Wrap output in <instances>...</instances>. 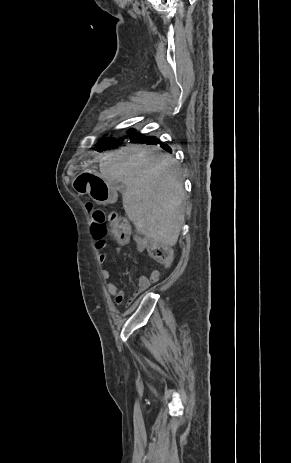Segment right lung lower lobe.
Masks as SVG:
<instances>
[{
    "instance_id": "98d812e1",
    "label": "right lung lower lobe",
    "mask_w": 291,
    "mask_h": 463,
    "mask_svg": "<svg viewBox=\"0 0 291 463\" xmlns=\"http://www.w3.org/2000/svg\"><path fill=\"white\" fill-rule=\"evenodd\" d=\"M142 143H147V144H157V143H161L159 142L156 138H151V139H147L145 141H143ZM162 148H164L165 150L167 151H170L169 147L165 144V145H161Z\"/></svg>"
}]
</instances>
